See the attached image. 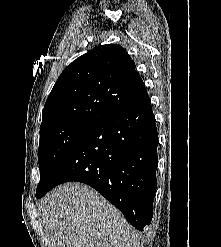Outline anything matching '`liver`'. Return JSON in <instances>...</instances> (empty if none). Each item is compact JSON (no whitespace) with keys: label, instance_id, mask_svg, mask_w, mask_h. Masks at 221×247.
Segmentation results:
<instances>
[{"label":"liver","instance_id":"1","mask_svg":"<svg viewBox=\"0 0 221 247\" xmlns=\"http://www.w3.org/2000/svg\"><path fill=\"white\" fill-rule=\"evenodd\" d=\"M38 214L51 247H139L121 212L84 184L58 186L40 200Z\"/></svg>","mask_w":221,"mask_h":247}]
</instances>
